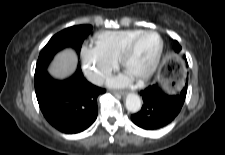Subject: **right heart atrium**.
I'll use <instances>...</instances> for the list:
<instances>
[{"label":"right heart atrium","instance_id":"1","mask_svg":"<svg viewBox=\"0 0 225 155\" xmlns=\"http://www.w3.org/2000/svg\"><path fill=\"white\" fill-rule=\"evenodd\" d=\"M80 56L86 77L95 84L106 80L117 66L116 60L103 55L95 47L83 46Z\"/></svg>","mask_w":225,"mask_h":155}]
</instances>
